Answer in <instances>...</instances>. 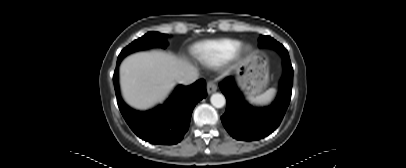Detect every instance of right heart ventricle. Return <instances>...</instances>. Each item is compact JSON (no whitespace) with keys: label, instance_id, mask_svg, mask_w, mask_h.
<instances>
[{"label":"right heart ventricle","instance_id":"e07e8e85","mask_svg":"<svg viewBox=\"0 0 406 168\" xmlns=\"http://www.w3.org/2000/svg\"><path fill=\"white\" fill-rule=\"evenodd\" d=\"M240 47L241 42L234 39L208 40L195 44L191 54L196 61L213 67L235 57Z\"/></svg>","mask_w":406,"mask_h":168}]
</instances>
